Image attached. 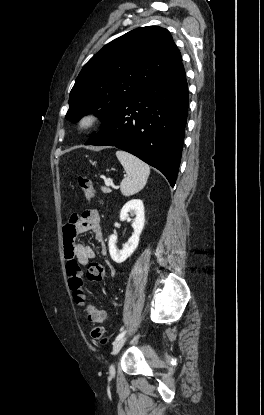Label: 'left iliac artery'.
<instances>
[{"instance_id": "1", "label": "left iliac artery", "mask_w": 264, "mask_h": 415, "mask_svg": "<svg viewBox=\"0 0 264 415\" xmlns=\"http://www.w3.org/2000/svg\"><path fill=\"white\" fill-rule=\"evenodd\" d=\"M125 333H126V331L121 332V333H120V334L116 337V340H115V341H117V340H119V339L123 338V337H124V335H125Z\"/></svg>"}]
</instances>
